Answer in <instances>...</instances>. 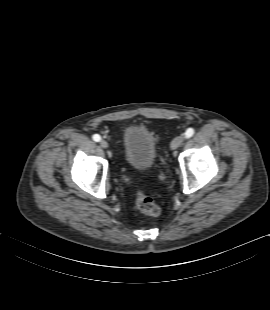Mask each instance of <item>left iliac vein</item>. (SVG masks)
I'll return each mask as SVG.
<instances>
[{"label": "left iliac vein", "mask_w": 270, "mask_h": 310, "mask_svg": "<svg viewBox=\"0 0 270 310\" xmlns=\"http://www.w3.org/2000/svg\"><path fill=\"white\" fill-rule=\"evenodd\" d=\"M185 137L183 135H179L176 138H174L170 144V148L172 150L177 149L183 142Z\"/></svg>", "instance_id": "1"}]
</instances>
